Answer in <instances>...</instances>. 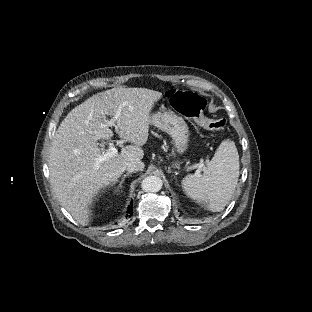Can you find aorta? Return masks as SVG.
<instances>
[{
    "label": "aorta",
    "mask_w": 312,
    "mask_h": 312,
    "mask_svg": "<svg viewBox=\"0 0 312 312\" xmlns=\"http://www.w3.org/2000/svg\"><path fill=\"white\" fill-rule=\"evenodd\" d=\"M162 185V180L157 176H147L141 182L142 190L145 192H158Z\"/></svg>",
    "instance_id": "762f6f07"
}]
</instances>
